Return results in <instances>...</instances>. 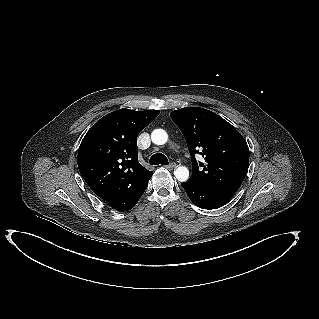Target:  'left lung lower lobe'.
Segmentation results:
<instances>
[{
    "instance_id": "0a47b994",
    "label": "left lung lower lobe",
    "mask_w": 319,
    "mask_h": 319,
    "mask_svg": "<svg viewBox=\"0 0 319 319\" xmlns=\"http://www.w3.org/2000/svg\"><path fill=\"white\" fill-rule=\"evenodd\" d=\"M190 200L202 209H216L227 204L231 196L201 186L190 180L181 183Z\"/></svg>"
}]
</instances>
